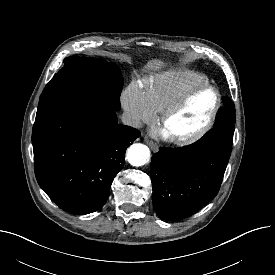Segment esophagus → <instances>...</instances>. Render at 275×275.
Listing matches in <instances>:
<instances>
[{"instance_id":"34e87169","label":"esophagus","mask_w":275,"mask_h":275,"mask_svg":"<svg viewBox=\"0 0 275 275\" xmlns=\"http://www.w3.org/2000/svg\"><path fill=\"white\" fill-rule=\"evenodd\" d=\"M145 142L151 148L152 151H158V146L156 145L155 142H153L152 140H149L148 138H145Z\"/></svg>"}]
</instances>
